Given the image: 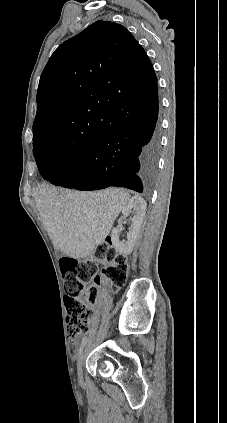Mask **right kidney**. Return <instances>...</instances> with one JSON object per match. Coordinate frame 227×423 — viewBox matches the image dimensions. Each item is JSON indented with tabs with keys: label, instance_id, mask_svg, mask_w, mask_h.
<instances>
[{
	"label": "right kidney",
	"instance_id": "ca27d5eb",
	"mask_svg": "<svg viewBox=\"0 0 227 423\" xmlns=\"http://www.w3.org/2000/svg\"><path fill=\"white\" fill-rule=\"evenodd\" d=\"M146 208L147 204L142 196H133V198L129 200L127 206L123 208L122 217H126V215H129L131 211H135V215L132 217L131 227H129V231L127 233V241H121L119 237V233L122 227V217H119L118 219V227H113L111 231L112 245L115 247L116 251H119V253H122V255H129V253H132L136 237L143 223Z\"/></svg>",
	"mask_w": 227,
	"mask_h": 423
}]
</instances>
